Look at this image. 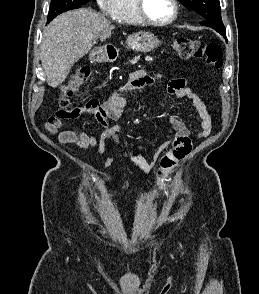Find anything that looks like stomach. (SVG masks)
<instances>
[{"label":"stomach","instance_id":"stomach-1","mask_svg":"<svg viewBox=\"0 0 259 294\" xmlns=\"http://www.w3.org/2000/svg\"><path fill=\"white\" fill-rule=\"evenodd\" d=\"M161 41L152 33L139 32L127 37L126 45L129 49L137 52H149L157 48ZM94 53L91 54L94 57Z\"/></svg>","mask_w":259,"mask_h":294}]
</instances>
